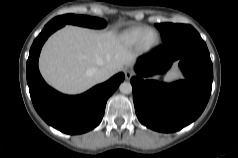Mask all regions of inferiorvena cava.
Listing matches in <instances>:
<instances>
[{
    "label": "inferior vena cava",
    "mask_w": 238,
    "mask_h": 158,
    "mask_svg": "<svg viewBox=\"0 0 238 158\" xmlns=\"http://www.w3.org/2000/svg\"><path fill=\"white\" fill-rule=\"evenodd\" d=\"M89 74L93 76V78L97 82H103L106 81L110 77V72L107 68L101 67V68H92L89 70Z\"/></svg>",
    "instance_id": "obj_1"
}]
</instances>
